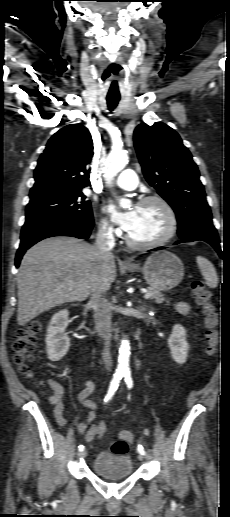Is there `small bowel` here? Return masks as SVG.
<instances>
[{"instance_id": "c3829d8e", "label": "small bowel", "mask_w": 230, "mask_h": 517, "mask_svg": "<svg viewBox=\"0 0 230 517\" xmlns=\"http://www.w3.org/2000/svg\"><path fill=\"white\" fill-rule=\"evenodd\" d=\"M175 308L178 312L189 315L191 307L188 302L181 300L176 303ZM56 384V383H55ZM57 386V398L58 401L54 408V416L57 421V423L62 426H68L69 422L65 419L63 412H64V405L61 402L60 398L62 395V388L60 385L56 384ZM97 391V384L95 380L91 379L86 382V385L84 389H82L78 395L79 402L86 408L89 409V413L87 414L85 420L81 423H78L75 425V429L79 434H81L86 442H91L93 439L97 437H102L106 432V424L104 422H100L98 424H93V421L96 418V410L98 406V402L91 399V395L96 393ZM127 435H130L129 439L130 441H133V435L129 431H121L119 433L120 437H126Z\"/></svg>"}]
</instances>
